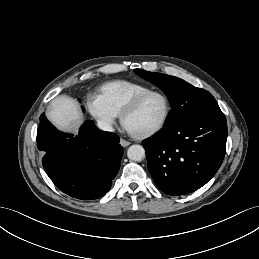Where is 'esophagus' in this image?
Wrapping results in <instances>:
<instances>
[{
	"label": "esophagus",
	"instance_id": "1",
	"mask_svg": "<svg viewBox=\"0 0 259 259\" xmlns=\"http://www.w3.org/2000/svg\"><path fill=\"white\" fill-rule=\"evenodd\" d=\"M120 144H121V146H123V147H127V146L130 145V142H129V141H126V140H124V139H121V140H120Z\"/></svg>",
	"mask_w": 259,
	"mask_h": 259
}]
</instances>
